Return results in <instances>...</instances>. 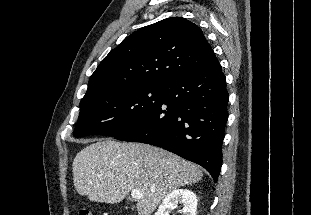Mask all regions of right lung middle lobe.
<instances>
[{"mask_svg":"<svg viewBox=\"0 0 311 215\" xmlns=\"http://www.w3.org/2000/svg\"><path fill=\"white\" fill-rule=\"evenodd\" d=\"M162 96L163 86H136L84 97L74 136H116L150 115Z\"/></svg>","mask_w":311,"mask_h":215,"instance_id":"dd1d6c3e","label":"right lung middle lobe"}]
</instances>
